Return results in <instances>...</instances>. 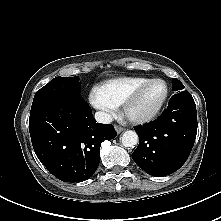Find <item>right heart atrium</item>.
Segmentation results:
<instances>
[{
    "label": "right heart atrium",
    "mask_w": 221,
    "mask_h": 221,
    "mask_svg": "<svg viewBox=\"0 0 221 221\" xmlns=\"http://www.w3.org/2000/svg\"><path fill=\"white\" fill-rule=\"evenodd\" d=\"M89 103L98 111L104 121H110L117 114V105L110 101L100 90L93 87L88 95Z\"/></svg>",
    "instance_id": "1"
}]
</instances>
